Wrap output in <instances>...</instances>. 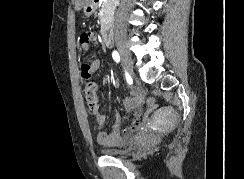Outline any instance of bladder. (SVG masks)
I'll return each instance as SVG.
<instances>
[{"instance_id":"bladder-1","label":"bladder","mask_w":244,"mask_h":179,"mask_svg":"<svg viewBox=\"0 0 244 179\" xmlns=\"http://www.w3.org/2000/svg\"><path fill=\"white\" fill-rule=\"evenodd\" d=\"M101 152L104 156H111V157L121 155L123 153V151L118 148H101Z\"/></svg>"}]
</instances>
